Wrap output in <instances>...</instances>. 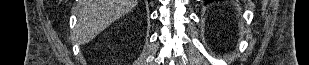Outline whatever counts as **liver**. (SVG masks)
I'll return each mask as SVG.
<instances>
[{"instance_id": "1", "label": "liver", "mask_w": 309, "mask_h": 65, "mask_svg": "<svg viewBox=\"0 0 309 65\" xmlns=\"http://www.w3.org/2000/svg\"><path fill=\"white\" fill-rule=\"evenodd\" d=\"M138 0H80L76 35L85 44L119 19L137 4Z\"/></svg>"}]
</instances>
